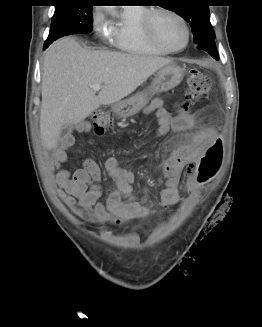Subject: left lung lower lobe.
<instances>
[{
    "instance_id": "1",
    "label": "left lung lower lobe",
    "mask_w": 262,
    "mask_h": 327,
    "mask_svg": "<svg viewBox=\"0 0 262 327\" xmlns=\"http://www.w3.org/2000/svg\"><path fill=\"white\" fill-rule=\"evenodd\" d=\"M197 48L200 50L207 51L211 56L215 57V59L218 60L219 57L216 51L215 41L213 38L199 43L197 45Z\"/></svg>"
}]
</instances>
